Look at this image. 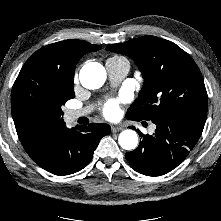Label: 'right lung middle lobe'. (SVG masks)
Masks as SVG:
<instances>
[{"label": "right lung middle lobe", "mask_w": 221, "mask_h": 221, "mask_svg": "<svg viewBox=\"0 0 221 221\" xmlns=\"http://www.w3.org/2000/svg\"><path fill=\"white\" fill-rule=\"evenodd\" d=\"M74 73L39 64L23 66L11 93L15 125L59 126L62 106L74 98Z\"/></svg>", "instance_id": "right-lung-middle-lobe-1"}]
</instances>
